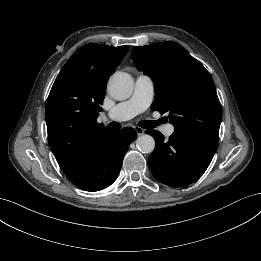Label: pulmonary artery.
<instances>
[{
    "label": "pulmonary artery",
    "mask_w": 261,
    "mask_h": 261,
    "mask_svg": "<svg viewBox=\"0 0 261 261\" xmlns=\"http://www.w3.org/2000/svg\"><path fill=\"white\" fill-rule=\"evenodd\" d=\"M154 96V83L150 76L146 74H139L135 81L134 91L132 96L123 102L115 105L108 113L106 117L113 121H125L138 115L146 110ZM174 132V126L167 124L163 127V133L166 136L172 135Z\"/></svg>",
    "instance_id": "obj_1"
}]
</instances>
